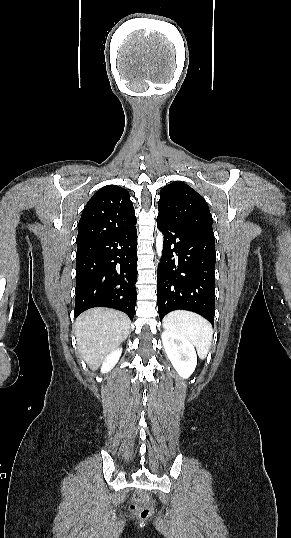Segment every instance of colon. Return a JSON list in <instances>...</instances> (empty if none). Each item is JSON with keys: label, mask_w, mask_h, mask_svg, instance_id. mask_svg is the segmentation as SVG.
I'll return each instance as SVG.
<instances>
[{"label": "colon", "mask_w": 291, "mask_h": 538, "mask_svg": "<svg viewBox=\"0 0 291 538\" xmlns=\"http://www.w3.org/2000/svg\"><path fill=\"white\" fill-rule=\"evenodd\" d=\"M146 497L140 492H136L131 497L130 510L133 515L140 519H147L152 515V508L145 505Z\"/></svg>", "instance_id": "colon-1"}]
</instances>
